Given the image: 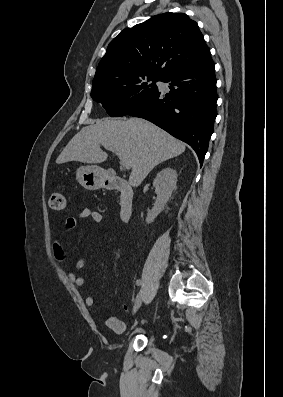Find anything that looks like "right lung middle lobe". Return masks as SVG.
Listing matches in <instances>:
<instances>
[{"label": "right lung middle lobe", "mask_w": 283, "mask_h": 397, "mask_svg": "<svg viewBox=\"0 0 283 397\" xmlns=\"http://www.w3.org/2000/svg\"><path fill=\"white\" fill-rule=\"evenodd\" d=\"M148 81L153 83L149 84ZM156 81L162 80L152 76H140L97 81L93 82L91 97L101 103L111 117L125 116L157 93Z\"/></svg>", "instance_id": "right-lung-middle-lobe-1"}]
</instances>
